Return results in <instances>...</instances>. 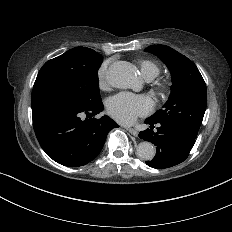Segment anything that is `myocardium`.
<instances>
[{
  "label": "myocardium",
  "instance_id": "myocardium-1",
  "mask_svg": "<svg viewBox=\"0 0 232 232\" xmlns=\"http://www.w3.org/2000/svg\"><path fill=\"white\" fill-rule=\"evenodd\" d=\"M166 91V86L164 83H156L155 84V88L152 89V94L153 95H160V96H164V92Z\"/></svg>",
  "mask_w": 232,
  "mask_h": 232
}]
</instances>
